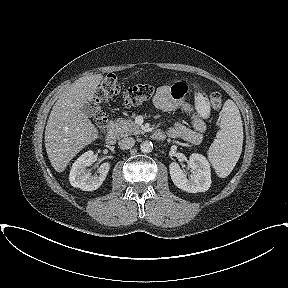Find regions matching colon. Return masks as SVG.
Returning <instances> with one entry per match:
<instances>
[{
    "mask_svg": "<svg viewBox=\"0 0 288 288\" xmlns=\"http://www.w3.org/2000/svg\"><path fill=\"white\" fill-rule=\"evenodd\" d=\"M154 92V87L148 84H139L123 89L120 80L115 75H107L97 88L94 96L97 126L100 129H104L106 126L107 118L102 109V104L109 99L121 96L126 106H136L150 100ZM209 103L212 109L218 110L222 106V95L219 92L211 93Z\"/></svg>",
    "mask_w": 288,
    "mask_h": 288,
    "instance_id": "1",
    "label": "colon"
}]
</instances>
